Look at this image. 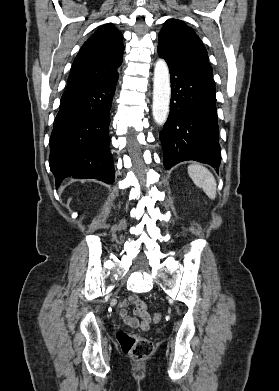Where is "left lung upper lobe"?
<instances>
[{
	"label": "left lung upper lobe",
	"mask_w": 279,
	"mask_h": 391,
	"mask_svg": "<svg viewBox=\"0 0 279 391\" xmlns=\"http://www.w3.org/2000/svg\"><path fill=\"white\" fill-rule=\"evenodd\" d=\"M157 50L168 63L192 71L215 85L207 50L194 30L183 21L169 19L164 23Z\"/></svg>",
	"instance_id": "obj_1"
}]
</instances>
